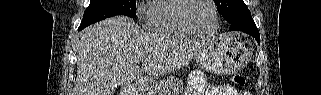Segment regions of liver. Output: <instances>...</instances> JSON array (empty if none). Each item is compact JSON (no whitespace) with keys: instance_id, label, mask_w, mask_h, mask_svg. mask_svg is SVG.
<instances>
[{"instance_id":"1","label":"liver","mask_w":321,"mask_h":95,"mask_svg":"<svg viewBox=\"0 0 321 95\" xmlns=\"http://www.w3.org/2000/svg\"><path fill=\"white\" fill-rule=\"evenodd\" d=\"M205 45L142 32L126 16L103 20L76 38L77 78L72 95H112L116 85L138 81L143 71L158 76L181 68Z\"/></svg>"}]
</instances>
